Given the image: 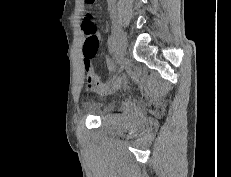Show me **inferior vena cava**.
I'll return each mask as SVG.
<instances>
[{
  "instance_id": "602c4592",
  "label": "inferior vena cava",
  "mask_w": 231,
  "mask_h": 177,
  "mask_svg": "<svg viewBox=\"0 0 231 177\" xmlns=\"http://www.w3.org/2000/svg\"><path fill=\"white\" fill-rule=\"evenodd\" d=\"M115 0H108V2H114Z\"/></svg>"
}]
</instances>
